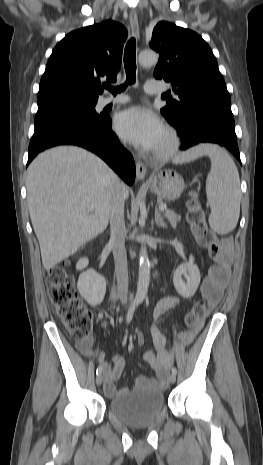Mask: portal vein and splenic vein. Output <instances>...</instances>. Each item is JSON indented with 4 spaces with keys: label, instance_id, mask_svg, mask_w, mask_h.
I'll use <instances>...</instances> for the list:
<instances>
[{
    "label": "portal vein and splenic vein",
    "instance_id": "1",
    "mask_svg": "<svg viewBox=\"0 0 263 465\" xmlns=\"http://www.w3.org/2000/svg\"><path fill=\"white\" fill-rule=\"evenodd\" d=\"M85 207H86L89 211H93V210H94V208H93L92 206L85 205ZM166 209H167L166 204H160V205H159V210L164 211V210H166Z\"/></svg>",
    "mask_w": 263,
    "mask_h": 465
}]
</instances>
